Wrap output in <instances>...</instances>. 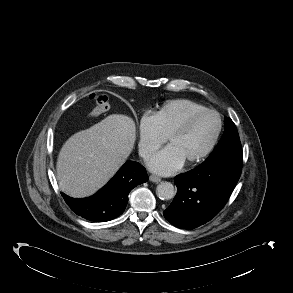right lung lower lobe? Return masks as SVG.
Masks as SVG:
<instances>
[{
    "mask_svg": "<svg viewBox=\"0 0 293 293\" xmlns=\"http://www.w3.org/2000/svg\"><path fill=\"white\" fill-rule=\"evenodd\" d=\"M148 180L145 168L134 161H127L115 176L95 195L74 199L62 194L68 206L79 216L90 221H109L123 213L129 192Z\"/></svg>",
    "mask_w": 293,
    "mask_h": 293,
    "instance_id": "98d812e1",
    "label": "right lung lower lobe"
}]
</instances>
